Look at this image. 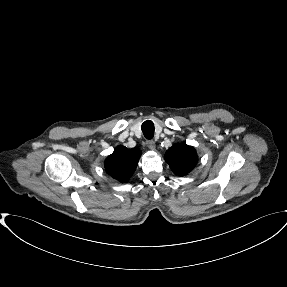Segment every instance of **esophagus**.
Listing matches in <instances>:
<instances>
[{
  "instance_id": "esophagus-1",
  "label": "esophagus",
  "mask_w": 287,
  "mask_h": 287,
  "mask_svg": "<svg viewBox=\"0 0 287 287\" xmlns=\"http://www.w3.org/2000/svg\"><path fill=\"white\" fill-rule=\"evenodd\" d=\"M146 145L151 150H154L156 148L155 142L153 140H147Z\"/></svg>"
}]
</instances>
